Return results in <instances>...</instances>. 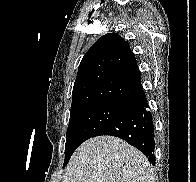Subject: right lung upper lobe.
I'll list each match as a JSON object with an SVG mask.
<instances>
[{"label":"right lung upper lobe","instance_id":"1","mask_svg":"<svg viewBox=\"0 0 196 182\" xmlns=\"http://www.w3.org/2000/svg\"><path fill=\"white\" fill-rule=\"evenodd\" d=\"M144 95L129 43L118 34L100 37L84 55L73 87L71 110L96 101L134 106Z\"/></svg>","mask_w":196,"mask_h":182}]
</instances>
